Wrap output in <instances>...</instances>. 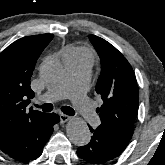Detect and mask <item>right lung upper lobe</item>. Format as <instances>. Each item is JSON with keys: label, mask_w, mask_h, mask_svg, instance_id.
<instances>
[{"label": "right lung upper lobe", "mask_w": 165, "mask_h": 165, "mask_svg": "<svg viewBox=\"0 0 165 165\" xmlns=\"http://www.w3.org/2000/svg\"><path fill=\"white\" fill-rule=\"evenodd\" d=\"M52 34L21 38L0 53V141L46 113L26 109L34 92L30 79Z\"/></svg>", "instance_id": "right-lung-upper-lobe-1"}]
</instances>
